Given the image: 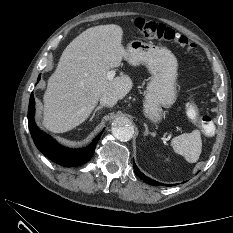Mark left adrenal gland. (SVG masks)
I'll return each mask as SVG.
<instances>
[{"label":"left adrenal gland","instance_id":"left-adrenal-gland-1","mask_svg":"<svg viewBox=\"0 0 233 233\" xmlns=\"http://www.w3.org/2000/svg\"><path fill=\"white\" fill-rule=\"evenodd\" d=\"M144 127H145V132H144V135L145 136H147V135H151V136H153V137H155L156 136V134L153 132H149V129H148V126H147V124L146 123H144Z\"/></svg>","mask_w":233,"mask_h":233}]
</instances>
